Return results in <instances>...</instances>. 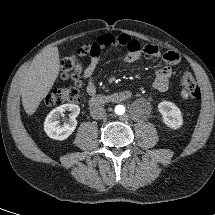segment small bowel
<instances>
[{"label": "small bowel", "instance_id": "obj_1", "mask_svg": "<svg viewBox=\"0 0 215 215\" xmlns=\"http://www.w3.org/2000/svg\"><path fill=\"white\" fill-rule=\"evenodd\" d=\"M90 62L82 73V79L86 81V92L88 95H95L97 88L95 85L94 77L96 69L102 59L103 51L109 47H124L127 53L124 57L125 62H136L142 54L148 55L152 58H162L164 66L157 69L153 81V87L161 92H165L170 87V79L172 76L171 66L177 65L180 57L173 51H168L161 54L156 45L148 44L142 47L140 43L132 39L127 34H120L113 36L105 34L98 36L90 45Z\"/></svg>", "mask_w": 215, "mask_h": 215}]
</instances>
